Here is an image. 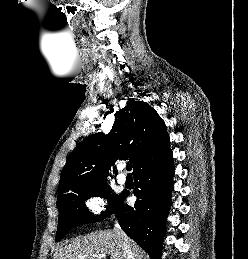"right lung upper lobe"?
I'll use <instances>...</instances> for the list:
<instances>
[{
  "mask_svg": "<svg viewBox=\"0 0 248 259\" xmlns=\"http://www.w3.org/2000/svg\"><path fill=\"white\" fill-rule=\"evenodd\" d=\"M115 116L107 135L93 134L72 151L62 171L58 197L107 181L109 167L119 158H129L136 171L171 152L165 123L146 102L128 101Z\"/></svg>",
  "mask_w": 248,
  "mask_h": 259,
  "instance_id": "cb5924a9",
  "label": "right lung upper lobe"
}]
</instances>
